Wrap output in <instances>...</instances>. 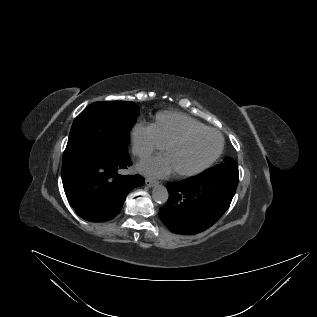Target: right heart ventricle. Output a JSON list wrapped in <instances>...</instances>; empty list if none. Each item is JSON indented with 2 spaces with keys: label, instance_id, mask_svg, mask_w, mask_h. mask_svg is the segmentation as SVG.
Returning <instances> with one entry per match:
<instances>
[{
  "label": "right heart ventricle",
  "instance_id": "1",
  "mask_svg": "<svg viewBox=\"0 0 317 317\" xmlns=\"http://www.w3.org/2000/svg\"><path fill=\"white\" fill-rule=\"evenodd\" d=\"M200 127H205V125L184 113L176 111L158 112L151 123V128L162 145L186 129Z\"/></svg>",
  "mask_w": 317,
  "mask_h": 317
}]
</instances>
